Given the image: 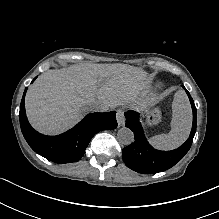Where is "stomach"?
<instances>
[{
	"label": "stomach",
	"mask_w": 219,
	"mask_h": 219,
	"mask_svg": "<svg viewBox=\"0 0 219 219\" xmlns=\"http://www.w3.org/2000/svg\"><path fill=\"white\" fill-rule=\"evenodd\" d=\"M144 123L145 125H156L161 121V112L159 108L157 107H152L146 110L144 114Z\"/></svg>",
	"instance_id": "obj_1"
}]
</instances>
